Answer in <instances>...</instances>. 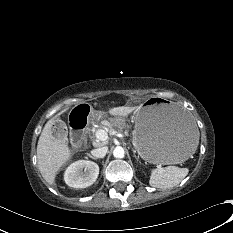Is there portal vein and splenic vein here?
Wrapping results in <instances>:
<instances>
[{
    "label": "portal vein and splenic vein",
    "instance_id": "obj_1",
    "mask_svg": "<svg viewBox=\"0 0 233 233\" xmlns=\"http://www.w3.org/2000/svg\"><path fill=\"white\" fill-rule=\"evenodd\" d=\"M95 137L98 141H106L108 139V134L105 130L99 129L96 131Z\"/></svg>",
    "mask_w": 233,
    "mask_h": 233
}]
</instances>
